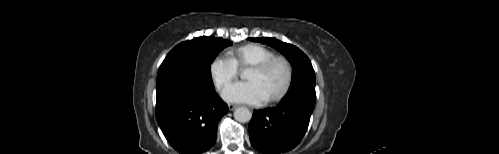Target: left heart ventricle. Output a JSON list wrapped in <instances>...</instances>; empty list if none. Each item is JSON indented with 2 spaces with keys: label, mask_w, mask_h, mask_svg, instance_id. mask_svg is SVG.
Returning <instances> with one entry per match:
<instances>
[{
  "label": "left heart ventricle",
  "mask_w": 499,
  "mask_h": 154,
  "mask_svg": "<svg viewBox=\"0 0 499 154\" xmlns=\"http://www.w3.org/2000/svg\"><path fill=\"white\" fill-rule=\"evenodd\" d=\"M245 78L248 81L258 83L268 98L278 92L283 86L285 81V68L281 63H275L264 72L249 69Z\"/></svg>",
  "instance_id": "b2bd125f"
}]
</instances>
